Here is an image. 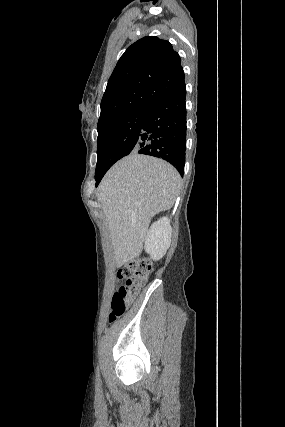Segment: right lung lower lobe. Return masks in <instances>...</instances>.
Wrapping results in <instances>:
<instances>
[{"label": "right lung lower lobe", "instance_id": "obj_1", "mask_svg": "<svg viewBox=\"0 0 285 427\" xmlns=\"http://www.w3.org/2000/svg\"><path fill=\"white\" fill-rule=\"evenodd\" d=\"M185 83L146 108L135 151L162 158L184 174L186 150ZM106 172L95 175L96 185Z\"/></svg>", "mask_w": 285, "mask_h": 427}]
</instances>
